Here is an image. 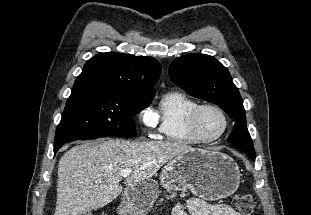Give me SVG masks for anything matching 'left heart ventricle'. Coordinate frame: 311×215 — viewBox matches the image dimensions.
Instances as JSON below:
<instances>
[{
  "instance_id": "obj_1",
  "label": "left heart ventricle",
  "mask_w": 311,
  "mask_h": 215,
  "mask_svg": "<svg viewBox=\"0 0 311 215\" xmlns=\"http://www.w3.org/2000/svg\"><path fill=\"white\" fill-rule=\"evenodd\" d=\"M199 127L206 136L212 137L222 130L223 119L215 110L205 109L200 115Z\"/></svg>"
}]
</instances>
